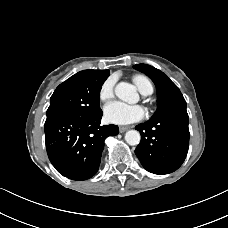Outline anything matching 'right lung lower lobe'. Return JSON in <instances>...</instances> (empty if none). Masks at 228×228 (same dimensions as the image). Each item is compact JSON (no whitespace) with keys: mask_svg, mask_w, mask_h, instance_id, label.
Listing matches in <instances>:
<instances>
[{"mask_svg":"<svg viewBox=\"0 0 228 228\" xmlns=\"http://www.w3.org/2000/svg\"><path fill=\"white\" fill-rule=\"evenodd\" d=\"M102 111L95 116L59 115L45 122L49 160L72 180L91 178L99 169L104 141L119 133L118 126H101Z\"/></svg>","mask_w":228,"mask_h":228,"instance_id":"98d812e1","label":"right lung lower lobe"}]
</instances>
